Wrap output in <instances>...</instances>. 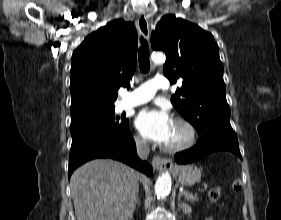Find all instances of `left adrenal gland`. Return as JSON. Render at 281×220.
Instances as JSON below:
<instances>
[{"label":"left adrenal gland","instance_id":"left-adrenal-gland-1","mask_svg":"<svg viewBox=\"0 0 281 220\" xmlns=\"http://www.w3.org/2000/svg\"><path fill=\"white\" fill-rule=\"evenodd\" d=\"M178 201H179L178 209L179 210L182 209L183 213L187 214L188 213V211H187L188 205L181 201V194H179V196H178Z\"/></svg>","mask_w":281,"mask_h":220}]
</instances>
